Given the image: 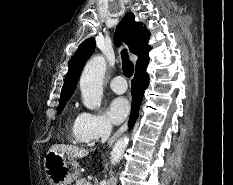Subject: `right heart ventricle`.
Masks as SVG:
<instances>
[{
    "label": "right heart ventricle",
    "instance_id": "1",
    "mask_svg": "<svg viewBox=\"0 0 233 185\" xmlns=\"http://www.w3.org/2000/svg\"><path fill=\"white\" fill-rule=\"evenodd\" d=\"M78 118H79V116L75 117V118H69V123H70L71 131L73 132L76 140L80 141V139L78 137V133H77Z\"/></svg>",
    "mask_w": 233,
    "mask_h": 185
}]
</instances>
